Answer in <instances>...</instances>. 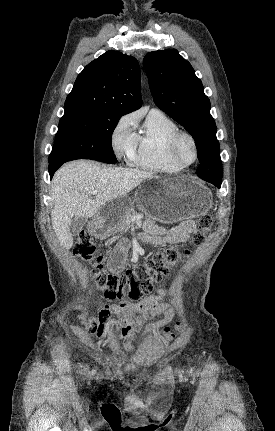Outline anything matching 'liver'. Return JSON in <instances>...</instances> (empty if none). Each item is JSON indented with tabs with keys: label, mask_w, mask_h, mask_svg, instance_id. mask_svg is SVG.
I'll list each match as a JSON object with an SVG mask.
<instances>
[{
	"label": "liver",
	"mask_w": 275,
	"mask_h": 431,
	"mask_svg": "<svg viewBox=\"0 0 275 431\" xmlns=\"http://www.w3.org/2000/svg\"><path fill=\"white\" fill-rule=\"evenodd\" d=\"M152 173L118 167H103L92 161L79 160L63 165L52 180L55 206L51 221L60 244L69 250L73 238L69 226L74 216L90 218L108 202L126 196ZM97 190L95 199L91 192Z\"/></svg>",
	"instance_id": "6515ba94"
}]
</instances>
